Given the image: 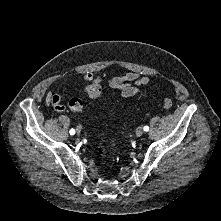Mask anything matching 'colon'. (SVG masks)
Masks as SVG:
<instances>
[{"instance_id":"5ec220e1","label":"colon","mask_w":221,"mask_h":221,"mask_svg":"<svg viewBox=\"0 0 221 221\" xmlns=\"http://www.w3.org/2000/svg\"><path fill=\"white\" fill-rule=\"evenodd\" d=\"M85 92L91 98H96V97H99L101 95V88L98 84H91V85H88L85 88ZM172 104H173V101H172L171 97L167 96L163 99V105H164L165 108H170L172 106ZM68 106L71 110H73L75 112H79L83 108V103L78 98H72L69 101ZM96 152L101 157L107 156L108 155L107 146L105 144H102V143L98 144L97 147H96Z\"/></svg>"}]
</instances>
